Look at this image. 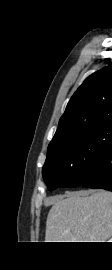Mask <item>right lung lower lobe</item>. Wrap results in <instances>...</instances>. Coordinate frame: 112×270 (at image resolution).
I'll return each mask as SVG.
<instances>
[{"instance_id":"obj_1","label":"right lung lower lobe","mask_w":112,"mask_h":270,"mask_svg":"<svg viewBox=\"0 0 112 270\" xmlns=\"http://www.w3.org/2000/svg\"><path fill=\"white\" fill-rule=\"evenodd\" d=\"M81 184L112 191V144L93 161Z\"/></svg>"}]
</instances>
